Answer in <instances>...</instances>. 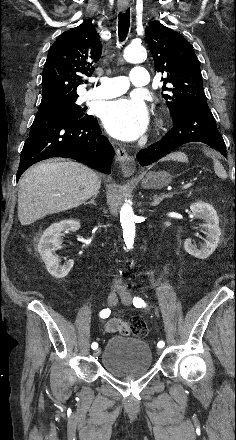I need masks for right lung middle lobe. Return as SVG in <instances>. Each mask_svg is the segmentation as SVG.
Segmentation results:
<instances>
[{
	"instance_id": "right-lung-middle-lobe-1",
	"label": "right lung middle lobe",
	"mask_w": 236,
	"mask_h": 440,
	"mask_svg": "<svg viewBox=\"0 0 236 440\" xmlns=\"http://www.w3.org/2000/svg\"><path fill=\"white\" fill-rule=\"evenodd\" d=\"M38 112H58L75 118H81L83 116H86V114H84L83 112V109H81L80 106L76 105L75 101L48 105V106H41L39 107Z\"/></svg>"
}]
</instances>
